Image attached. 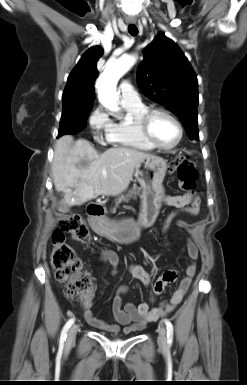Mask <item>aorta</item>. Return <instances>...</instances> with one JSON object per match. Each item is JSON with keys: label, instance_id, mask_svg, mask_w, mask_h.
I'll list each match as a JSON object with an SVG mask.
<instances>
[{"label": "aorta", "instance_id": "obj_1", "mask_svg": "<svg viewBox=\"0 0 247 385\" xmlns=\"http://www.w3.org/2000/svg\"><path fill=\"white\" fill-rule=\"evenodd\" d=\"M136 56L128 55L116 60H109L102 74L96 81V89L100 103L111 112H118L119 93L117 84L119 79L136 63Z\"/></svg>", "mask_w": 247, "mask_h": 385}]
</instances>
